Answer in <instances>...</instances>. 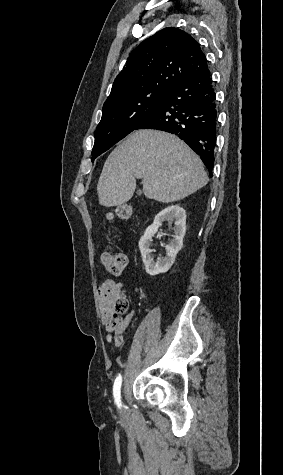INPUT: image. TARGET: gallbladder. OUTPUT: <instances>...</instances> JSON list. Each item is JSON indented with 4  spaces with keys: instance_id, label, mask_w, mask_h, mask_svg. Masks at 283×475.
Listing matches in <instances>:
<instances>
[{
    "instance_id": "1",
    "label": "gallbladder",
    "mask_w": 283,
    "mask_h": 475,
    "mask_svg": "<svg viewBox=\"0 0 283 475\" xmlns=\"http://www.w3.org/2000/svg\"><path fill=\"white\" fill-rule=\"evenodd\" d=\"M137 194H140V190H138Z\"/></svg>"
}]
</instances>
